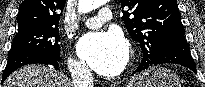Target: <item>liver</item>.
I'll return each mask as SVG.
<instances>
[{
  "instance_id": "6515ba94",
  "label": "liver",
  "mask_w": 205,
  "mask_h": 87,
  "mask_svg": "<svg viewBox=\"0 0 205 87\" xmlns=\"http://www.w3.org/2000/svg\"><path fill=\"white\" fill-rule=\"evenodd\" d=\"M3 87H73V84L51 66L35 64L13 72Z\"/></svg>"
}]
</instances>
